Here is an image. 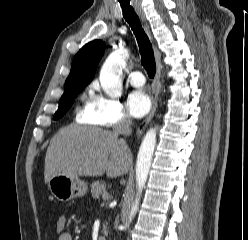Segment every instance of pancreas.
Masks as SVG:
<instances>
[{"instance_id":"obj_1","label":"pancreas","mask_w":248,"mask_h":240,"mask_svg":"<svg viewBox=\"0 0 248 240\" xmlns=\"http://www.w3.org/2000/svg\"><path fill=\"white\" fill-rule=\"evenodd\" d=\"M91 193H92V196L94 198H99L100 195L103 197V194L106 193V190H105V183L103 181H96V182H93L92 185H91ZM109 196L107 198H104V200L108 199ZM104 233L106 234L107 231L106 229H104Z\"/></svg>"}]
</instances>
